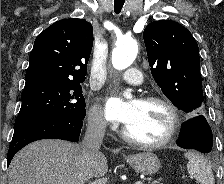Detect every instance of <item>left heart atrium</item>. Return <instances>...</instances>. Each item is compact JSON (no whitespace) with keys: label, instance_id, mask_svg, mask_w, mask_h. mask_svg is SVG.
<instances>
[{"label":"left heart atrium","instance_id":"1","mask_svg":"<svg viewBox=\"0 0 224 184\" xmlns=\"http://www.w3.org/2000/svg\"><path fill=\"white\" fill-rule=\"evenodd\" d=\"M136 112L135 102L123 101L119 98H110L106 104L108 119L127 125Z\"/></svg>","mask_w":224,"mask_h":184}]
</instances>
